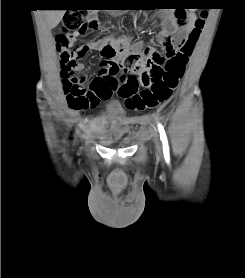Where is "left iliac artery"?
<instances>
[{
    "mask_svg": "<svg viewBox=\"0 0 245 278\" xmlns=\"http://www.w3.org/2000/svg\"><path fill=\"white\" fill-rule=\"evenodd\" d=\"M158 130H159L160 139H161L162 145H163L164 158H165L166 162H169L170 154H169V146H168L167 136H166L163 126L160 123L158 124Z\"/></svg>",
    "mask_w": 245,
    "mask_h": 278,
    "instance_id": "44dca946",
    "label": "left iliac artery"
}]
</instances>
